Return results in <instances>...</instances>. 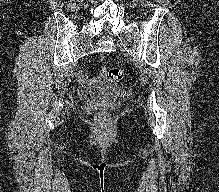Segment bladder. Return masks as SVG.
Segmentation results:
<instances>
[{
  "label": "bladder",
  "mask_w": 219,
  "mask_h": 192,
  "mask_svg": "<svg viewBox=\"0 0 219 192\" xmlns=\"http://www.w3.org/2000/svg\"><path fill=\"white\" fill-rule=\"evenodd\" d=\"M114 93H115L114 88L112 87L105 88L99 93L100 94L99 99L107 100L111 98L114 95Z\"/></svg>",
  "instance_id": "31cf9c89"
}]
</instances>
